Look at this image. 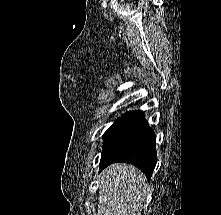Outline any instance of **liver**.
I'll list each match as a JSON object with an SVG mask.
<instances>
[{"label": "liver", "mask_w": 221, "mask_h": 215, "mask_svg": "<svg viewBox=\"0 0 221 215\" xmlns=\"http://www.w3.org/2000/svg\"><path fill=\"white\" fill-rule=\"evenodd\" d=\"M97 215H141L148 194L144 174L128 164H112L99 176Z\"/></svg>", "instance_id": "6515ba94"}]
</instances>
